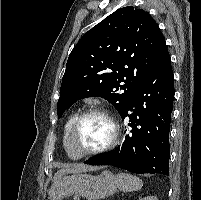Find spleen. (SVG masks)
Returning <instances> with one entry per match:
<instances>
[{
	"mask_svg": "<svg viewBox=\"0 0 201 200\" xmlns=\"http://www.w3.org/2000/svg\"><path fill=\"white\" fill-rule=\"evenodd\" d=\"M116 179L119 189L124 192L137 191L143 186L142 181L138 177L128 173H119L117 174Z\"/></svg>",
	"mask_w": 201,
	"mask_h": 200,
	"instance_id": "1",
	"label": "spleen"
}]
</instances>
